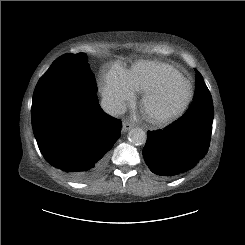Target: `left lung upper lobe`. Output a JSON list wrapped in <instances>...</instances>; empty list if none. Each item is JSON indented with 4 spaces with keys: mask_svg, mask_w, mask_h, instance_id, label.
I'll list each match as a JSON object with an SVG mask.
<instances>
[{
    "mask_svg": "<svg viewBox=\"0 0 245 245\" xmlns=\"http://www.w3.org/2000/svg\"><path fill=\"white\" fill-rule=\"evenodd\" d=\"M196 75H197V77H196V83H197L198 79H202V80H203L202 75H201L197 70H196ZM203 81H204V80H203ZM207 89H208V88H207ZM206 95L211 96L209 90L207 91ZM198 99H199V97H197V98L195 97V98H194V101L192 102L190 108L187 110V112H186L185 114H190V113H192V112H194V111H196V110L199 109L200 103L196 101V100H198ZM200 100H202V99H200Z\"/></svg>",
    "mask_w": 245,
    "mask_h": 245,
    "instance_id": "5c2ea615",
    "label": "left lung upper lobe"
}]
</instances>
